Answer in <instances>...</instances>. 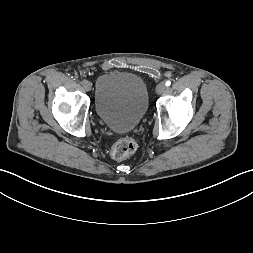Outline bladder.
Listing matches in <instances>:
<instances>
[{"mask_svg": "<svg viewBox=\"0 0 253 253\" xmlns=\"http://www.w3.org/2000/svg\"><path fill=\"white\" fill-rule=\"evenodd\" d=\"M149 106L145 81L130 72H108L95 86V109L99 119L118 132L133 130L144 119Z\"/></svg>", "mask_w": 253, "mask_h": 253, "instance_id": "obj_1", "label": "bladder"}]
</instances>
